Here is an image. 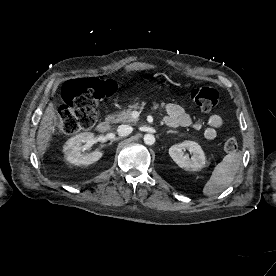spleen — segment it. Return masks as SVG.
<instances>
[{"mask_svg": "<svg viewBox=\"0 0 276 276\" xmlns=\"http://www.w3.org/2000/svg\"><path fill=\"white\" fill-rule=\"evenodd\" d=\"M241 153L231 152L214 168L210 179L203 188L206 196L216 195L227 188L234 180L241 163Z\"/></svg>", "mask_w": 276, "mask_h": 276, "instance_id": "spleen-1", "label": "spleen"}]
</instances>
